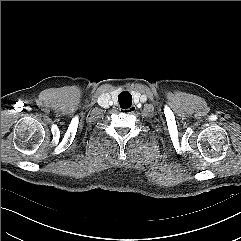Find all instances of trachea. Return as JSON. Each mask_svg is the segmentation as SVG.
Listing matches in <instances>:
<instances>
[{
    "label": "trachea",
    "mask_w": 241,
    "mask_h": 241,
    "mask_svg": "<svg viewBox=\"0 0 241 241\" xmlns=\"http://www.w3.org/2000/svg\"><path fill=\"white\" fill-rule=\"evenodd\" d=\"M118 101L121 108H129L132 104V95L129 92H122L118 96Z\"/></svg>",
    "instance_id": "1"
}]
</instances>
